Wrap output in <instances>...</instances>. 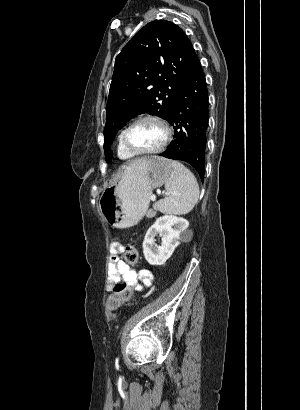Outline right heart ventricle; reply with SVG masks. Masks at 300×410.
<instances>
[{"instance_id":"1","label":"right heart ventricle","mask_w":300,"mask_h":410,"mask_svg":"<svg viewBox=\"0 0 300 410\" xmlns=\"http://www.w3.org/2000/svg\"><path fill=\"white\" fill-rule=\"evenodd\" d=\"M117 154L119 158L122 160H129L135 157V155L131 154L121 143V133L118 136V144H117Z\"/></svg>"}]
</instances>
